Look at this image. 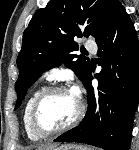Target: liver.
Listing matches in <instances>:
<instances>
[{"label":"liver","mask_w":139,"mask_h":150,"mask_svg":"<svg viewBox=\"0 0 139 150\" xmlns=\"http://www.w3.org/2000/svg\"><path fill=\"white\" fill-rule=\"evenodd\" d=\"M52 148H55V147L54 146L39 147L38 150H49V149H52Z\"/></svg>","instance_id":"obj_1"}]
</instances>
